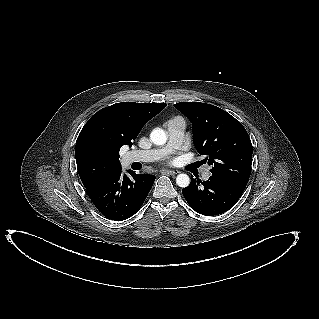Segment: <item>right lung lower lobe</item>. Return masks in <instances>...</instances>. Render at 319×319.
I'll return each instance as SVG.
<instances>
[{"mask_svg": "<svg viewBox=\"0 0 319 319\" xmlns=\"http://www.w3.org/2000/svg\"><path fill=\"white\" fill-rule=\"evenodd\" d=\"M128 173L131 178L119 170L86 188L96 208L109 219L124 220L138 212L155 181L153 175Z\"/></svg>", "mask_w": 319, "mask_h": 319, "instance_id": "98d812e1", "label": "right lung lower lobe"}]
</instances>
